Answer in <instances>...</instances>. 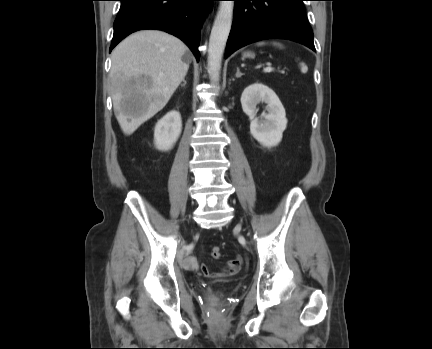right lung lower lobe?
<instances>
[{
  "mask_svg": "<svg viewBox=\"0 0 432 349\" xmlns=\"http://www.w3.org/2000/svg\"><path fill=\"white\" fill-rule=\"evenodd\" d=\"M121 7L114 21L110 52L129 34L158 29L184 41L199 61L202 21L213 0H119Z\"/></svg>",
  "mask_w": 432,
  "mask_h": 349,
  "instance_id": "obj_1",
  "label": "right lung lower lobe"
}]
</instances>
